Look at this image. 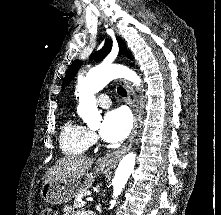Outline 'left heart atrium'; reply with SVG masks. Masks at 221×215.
<instances>
[{"label":"left heart atrium","mask_w":221,"mask_h":215,"mask_svg":"<svg viewBox=\"0 0 221 215\" xmlns=\"http://www.w3.org/2000/svg\"><path fill=\"white\" fill-rule=\"evenodd\" d=\"M131 129V118L124 109H114L106 113L100 128L101 137L108 142L123 140Z\"/></svg>","instance_id":"39dd6f15"}]
</instances>
